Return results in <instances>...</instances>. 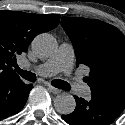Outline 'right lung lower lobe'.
I'll list each match as a JSON object with an SVG mask.
<instances>
[{
  "instance_id": "1",
  "label": "right lung lower lobe",
  "mask_w": 125,
  "mask_h": 125,
  "mask_svg": "<svg viewBox=\"0 0 125 125\" xmlns=\"http://www.w3.org/2000/svg\"><path fill=\"white\" fill-rule=\"evenodd\" d=\"M31 84H25L20 78L0 83V118L18 113L24 107Z\"/></svg>"
}]
</instances>
